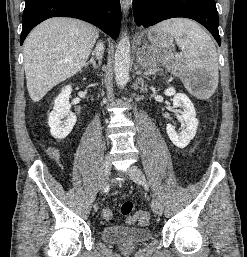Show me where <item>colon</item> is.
I'll list each match as a JSON object with an SVG mask.
<instances>
[{"label":"colon","mask_w":247,"mask_h":257,"mask_svg":"<svg viewBox=\"0 0 247 257\" xmlns=\"http://www.w3.org/2000/svg\"><path fill=\"white\" fill-rule=\"evenodd\" d=\"M133 212V203L130 201H126L121 206V213L126 216L127 222L129 224H133L138 222L142 226H146L149 224L150 216L146 211H138L135 214ZM113 217V212L109 208H105L102 210V218L104 220H111Z\"/></svg>","instance_id":"colon-1"}]
</instances>
